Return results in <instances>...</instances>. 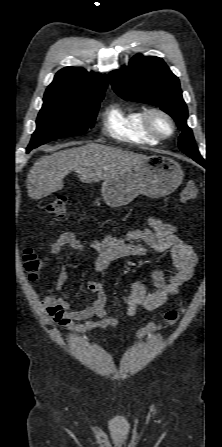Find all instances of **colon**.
<instances>
[{
    "label": "colon",
    "mask_w": 222,
    "mask_h": 447,
    "mask_svg": "<svg viewBox=\"0 0 222 447\" xmlns=\"http://www.w3.org/2000/svg\"><path fill=\"white\" fill-rule=\"evenodd\" d=\"M198 195V189L194 182L186 184L181 193V201L188 202ZM68 200L65 196H59L52 201L48 202L45 206V211L56 218H64L68 215L67 208ZM24 268L29 274L31 280H35L42 272L47 264V260L44 256L37 254L32 249H26L23 254ZM183 314V307L172 309L168 311L161 323L151 324L144 328L139 336L144 337L158 330L173 326L176 324Z\"/></svg>",
    "instance_id": "obj_1"
}]
</instances>
